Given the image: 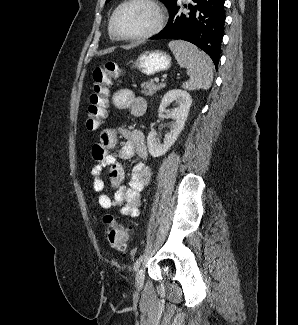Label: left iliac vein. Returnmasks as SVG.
I'll return each mask as SVG.
<instances>
[{"mask_svg": "<svg viewBox=\"0 0 298 325\" xmlns=\"http://www.w3.org/2000/svg\"><path fill=\"white\" fill-rule=\"evenodd\" d=\"M144 284V270L141 268L137 271L135 277V286L137 289H141Z\"/></svg>", "mask_w": 298, "mask_h": 325, "instance_id": "left-iliac-vein-1", "label": "left iliac vein"}]
</instances>
